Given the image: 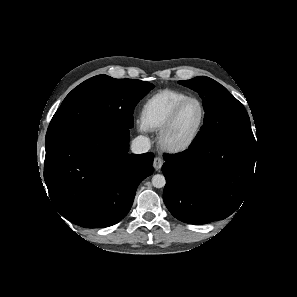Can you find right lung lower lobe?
<instances>
[{
  "label": "right lung lower lobe",
  "instance_id": "obj_1",
  "mask_svg": "<svg viewBox=\"0 0 297 297\" xmlns=\"http://www.w3.org/2000/svg\"><path fill=\"white\" fill-rule=\"evenodd\" d=\"M129 129L94 131L46 151L44 179L62 216L103 228L129 212L140 182L153 173V154H128Z\"/></svg>",
  "mask_w": 297,
  "mask_h": 297
}]
</instances>
